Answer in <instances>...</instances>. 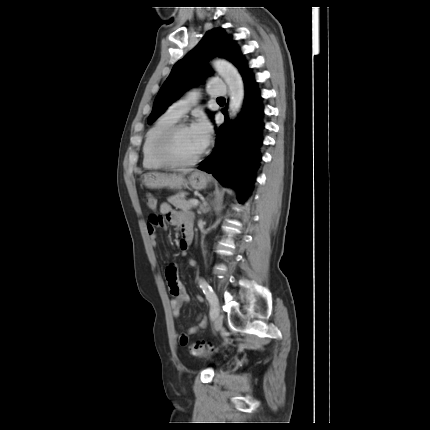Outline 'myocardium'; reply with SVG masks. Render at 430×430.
<instances>
[{
    "label": "myocardium",
    "mask_w": 430,
    "mask_h": 430,
    "mask_svg": "<svg viewBox=\"0 0 430 430\" xmlns=\"http://www.w3.org/2000/svg\"><path fill=\"white\" fill-rule=\"evenodd\" d=\"M185 128H190L186 122L177 121L161 133L155 142L154 154L167 166L182 167L195 165L205 155V150H202L197 156L191 159H179L174 155L173 143L175 137L181 129Z\"/></svg>",
    "instance_id": "1"
}]
</instances>
